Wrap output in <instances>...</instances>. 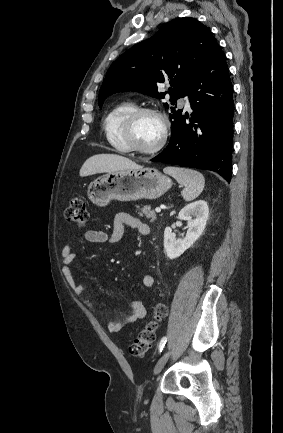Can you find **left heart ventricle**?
Here are the masks:
<instances>
[{
  "instance_id": "1",
  "label": "left heart ventricle",
  "mask_w": 283,
  "mask_h": 433,
  "mask_svg": "<svg viewBox=\"0 0 283 433\" xmlns=\"http://www.w3.org/2000/svg\"><path fill=\"white\" fill-rule=\"evenodd\" d=\"M162 131L161 119L153 114H146L141 116L136 123L134 139L140 148L152 150L158 145Z\"/></svg>"
}]
</instances>
